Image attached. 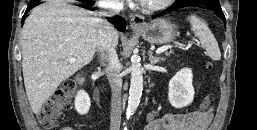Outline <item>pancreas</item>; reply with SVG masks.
<instances>
[{"instance_id":"pancreas-1","label":"pancreas","mask_w":257,"mask_h":130,"mask_svg":"<svg viewBox=\"0 0 257 130\" xmlns=\"http://www.w3.org/2000/svg\"><path fill=\"white\" fill-rule=\"evenodd\" d=\"M171 53V52H170ZM170 53L169 52H166L165 54H166V56H169L170 55Z\"/></svg>"}]
</instances>
